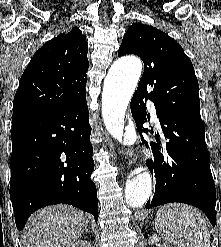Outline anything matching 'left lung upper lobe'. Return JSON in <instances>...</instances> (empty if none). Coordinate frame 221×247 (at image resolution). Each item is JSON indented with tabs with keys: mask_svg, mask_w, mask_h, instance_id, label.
Instances as JSON below:
<instances>
[{
	"mask_svg": "<svg viewBox=\"0 0 221 247\" xmlns=\"http://www.w3.org/2000/svg\"><path fill=\"white\" fill-rule=\"evenodd\" d=\"M125 54H135L144 62L135 94L153 101L162 115L202 123L197 77L174 39L153 26L135 23L118 51L119 57Z\"/></svg>",
	"mask_w": 221,
	"mask_h": 247,
	"instance_id": "obj_1",
	"label": "left lung upper lobe"
}]
</instances>
